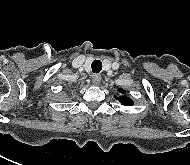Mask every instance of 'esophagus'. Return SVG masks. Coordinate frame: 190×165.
Here are the masks:
<instances>
[{
  "label": "esophagus",
  "mask_w": 190,
  "mask_h": 165,
  "mask_svg": "<svg viewBox=\"0 0 190 165\" xmlns=\"http://www.w3.org/2000/svg\"><path fill=\"white\" fill-rule=\"evenodd\" d=\"M92 82H93V84L98 85L101 82V75L98 73L93 74Z\"/></svg>",
  "instance_id": "esophagus-1"
}]
</instances>
